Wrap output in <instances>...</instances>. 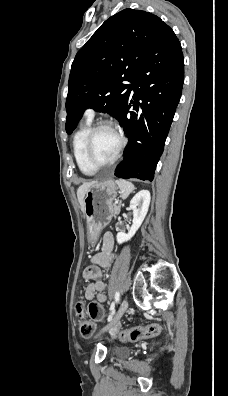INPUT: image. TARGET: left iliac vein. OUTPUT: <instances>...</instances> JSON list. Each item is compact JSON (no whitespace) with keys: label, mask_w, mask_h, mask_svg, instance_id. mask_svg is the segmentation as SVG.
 Here are the masks:
<instances>
[{"label":"left iliac vein","mask_w":228,"mask_h":396,"mask_svg":"<svg viewBox=\"0 0 228 396\" xmlns=\"http://www.w3.org/2000/svg\"><path fill=\"white\" fill-rule=\"evenodd\" d=\"M127 308H128V300L125 298L121 302L119 310L117 311V313H116L115 317L113 318V320L106 327H104L101 332L104 333L107 330H109V329L113 328L114 326H116L119 323V321H120L121 317L123 316V314L126 312Z\"/></svg>","instance_id":"obj_1"}]
</instances>
